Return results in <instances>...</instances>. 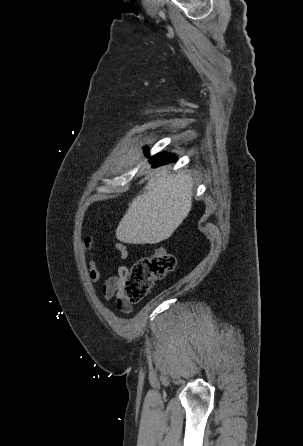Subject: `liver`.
<instances>
[{"label":"liver","mask_w":303,"mask_h":446,"mask_svg":"<svg viewBox=\"0 0 303 446\" xmlns=\"http://www.w3.org/2000/svg\"><path fill=\"white\" fill-rule=\"evenodd\" d=\"M194 181L188 174L162 168L136 196L121 219L116 238L128 244H157L168 239L192 207Z\"/></svg>","instance_id":"liver-1"}]
</instances>
